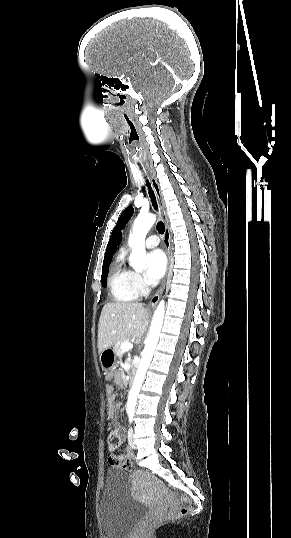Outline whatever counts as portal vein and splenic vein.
Segmentation results:
<instances>
[{
	"label": "portal vein and splenic vein",
	"instance_id": "obj_1",
	"mask_svg": "<svg viewBox=\"0 0 291 538\" xmlns=\"http://www.w3.org/2000/svg\"><path fill=\"white\" fill-rule=\"evenodd\" d=\"M133 348V344L130 343V342H124L121 344V350L122 351H127V350H130Z\"/></svg>",
	"mask_w": 291,
	"mask_h": 538
}]
</instances>
